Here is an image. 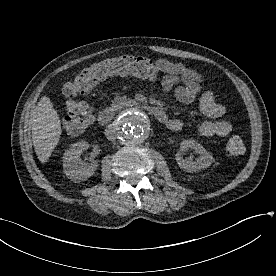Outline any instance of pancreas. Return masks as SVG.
<instances>
[{"mask_svg":"<svg viewBox=\"0 0 276 276\" xmlns=\"http://www.w3.org/2000/svg\"><path fill=\"white\" fill-rule=\"evenodd\" d=\"M135 101L127 98L126 96H116L114 100L112 101V107L115 109H122L123 107L126 106H131L134 105Z\"/></svg>","mask_w":276,"mask_h":276,"instance_id":"cf45deb5","label":"pancreas"}]
</instances>
